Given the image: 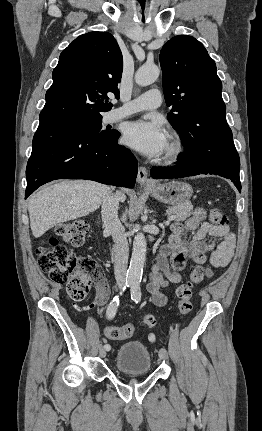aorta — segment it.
<instances>
[{
	"instance_id": "aorta-1",
	"label": "aorta",
	"mask_w": 262,
	"mask_h": 431,
	"mask_svg": "<svg viewBox=\"0 0 262 431\" xmlns=\"http://www.w3.org/2000/svg\"><path fill=\"white\" fill-rule=\"evenodd\" d=\"M160 69L156 65H143L135 74V82L140 86H148L159 77ZM147 243L143 233L135 235L130 266L127 271V281L130 285L138 286L143 273L146 259Z\"/></svg>"
}]
</instances>
